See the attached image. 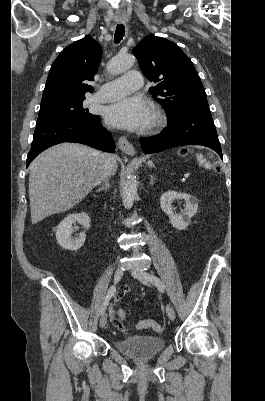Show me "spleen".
Listing matches in <instances>:
<instances>
[{
    "label": "spleen",
    "mask_w": 265,
    "mask_h": 401,
    "mask_svg": "<svg viewBox=\"0 0 265 401\" xmlns=\"http://www.w3.org/2000/svg\"><path fill=\"white\" fill-rule=\"evenodd\" d=\"M199 166H204V168H210V162L207 158H204L203 154H196Z\"/></svg>",
    "instance_id": "1"
}]
</instances>
